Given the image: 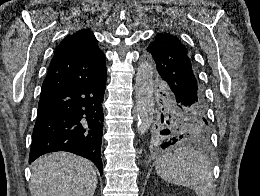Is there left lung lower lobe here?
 <instances>
[{
	"label": "left lung lower lobe",
	"mask_w": 260,
	"mask_h": 196,
	"mask_svg": "<svg viewBox=\"0 0 260 196\" xmlns=\"http://www.w3.org/2000/svg\"><path fill=\"white\" fill-rule=\"evenodd\" d=\"M172 140H169V142L167 143L168 145L171 144Z\"/></svg>",
	"instance_id": "0a47b994"
}]
</instances>
